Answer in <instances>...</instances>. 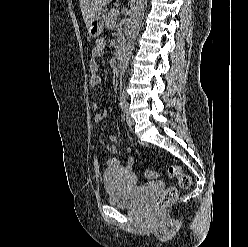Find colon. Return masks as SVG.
Wrapping results in <instances>:
<instances>
[{
  "label": "colon",
  "mask_w": 248,
  "mask_h": 247,
  "mask_svg": "<svg viewBox=\"0 0 248 247\" xmlns=\"http://www.w3.org/2000/svg\"><path fill=\"white\" fill-rule=\"evenodd\" d=\"M167 175L169 178L174 180L180 188H187L190 186L191 178L190 176L183 170L180 165L172 164L167 167ZM145 176L147 178H155L156 173L154 171H146ZM178 194V189L175 186H171L167 188L161 195H159L153 201V207L159 209L166 204L173 201Z\"/></svg>",
  "instance_id": "obj_1"
}]
</instances>
